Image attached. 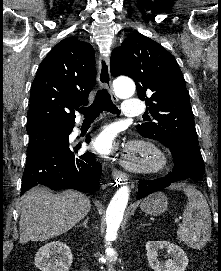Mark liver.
Returning <instances> with one entry per match:
<instances>
[{
    "label": "liver",
    "mask_w": 221,
    "mask_h": 271,
    "mask_svg": "<svg viewBox=\"0 0 221 271\" xmlns=\"http://www.w3.org/2000/svg\"><path fill=\"white\" fill-rule=\"evenodd\" d=\"M91 209L85 193L66 189L51 193L48 187H32L21 197L19 243L45 241L61 235L83 219Z\"/></svg>",
    "instance_id": "liver-1"
}]
</instances>
